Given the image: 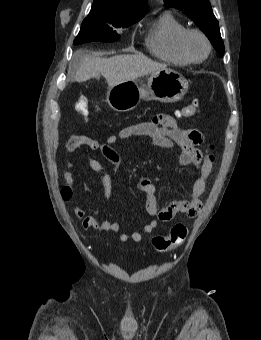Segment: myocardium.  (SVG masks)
I'll return each instance as SVG.
<instances>
[{
    "label": "myocardium",
    "instance_id": "1",
    "mask_svg": "<svg viewBox=\"0 0 261 340\" xmlns=\"http://www.w3.org/2000/svg\"><path fill=\"white\" fill-rule=\"evenodd\" d=\"M191 35L200 36L204 40V42L206 43L207 51H206L205 56L201 59H196V58L192 57L191 54L189 53V51L187 50V45H186L187 39ZM178 46H179V49H180L181 53L183 54V56L186 57L190 62H193V63H200V62H203L204 60H206L208 58V56L210 55L211 50H212V45H211V42H210L208 36L203 31H201L200 29H197V28H187L186 30H184L183 33L179 37Z\"/></svg>",
    "mask_w": 261,
    "mask_h": 340
}]
</instances>
